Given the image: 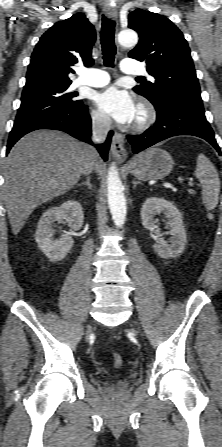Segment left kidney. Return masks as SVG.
Wrapping results in <instances>:
<instances>
[{
    "instance_id": "5707ae66",
    "label": "left kidney",
    "mask_w": 222,
    "mask_h": 447,
    "mask_svg": "<svg viewBox=\"0 0 222 447\" xmlns=\"http://www.w3.org/2000/svg\"><path fill=\"white\" fill-rule=\"evenodd\" d=\"M160 213H163L168 219L169 234L171 235L168 241L162 237L160 228L154 219V216ZM141 220L144 228L153 230L155 233L156 243L153 245V249L159 257L174 258L183 252L187 242L186 231L182 214L172 202L164 198H148L141 209Z\"/></svg>"
}]
</instances>
